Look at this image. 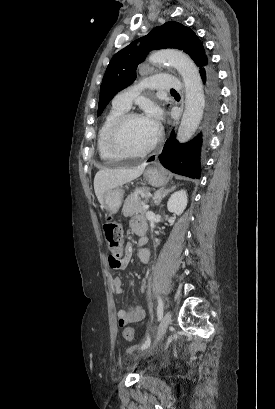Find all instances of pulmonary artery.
<instances>
[{"mask_svg": "<svg viewBox=\"0 0 275 409\" xmlns=\"http://www.w3.org/2000/svg\"><path fill=\"white\" fill-rule=\"evenodd\" d=\"M145 85H130L128 92H120L113 99V105L124 110H129L135 94H152L154 88H180V79H174L172 74L160 73L146 77Z\"/></svg>", "mask_w": 275, "mask_h": 409, "instance_id": "1", "label": "pulmonary artery"}]
</instances>
